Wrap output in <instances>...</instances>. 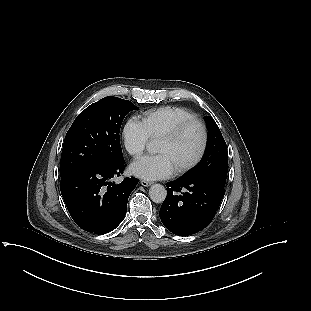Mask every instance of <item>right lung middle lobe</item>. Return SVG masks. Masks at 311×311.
Wrapping results in <instances>:
<instances>
[{
  "label": "right lung middle lobe",
  "instance_id": "right-lung-middle-lobe-1",
  "mask_svg": "<svg viewBox=\"0 0 311 311\" xmlns=\"http://www.w3.org/2000/svg\"><path fill=\"white\" fill-rule=\"evenodd\" d=\"M139 109L128 100L109 96L82 111L68 130L60 161V175L89 164L122 160L119 132L126 114Z\"/></svg>",
  "mask_w": 311,
  "mask_h": 311
}]
</instances>
